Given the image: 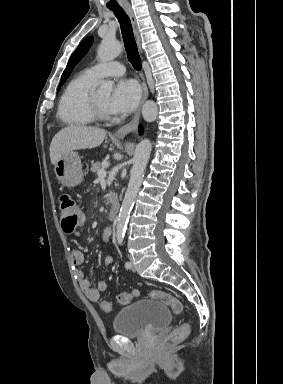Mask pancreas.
<instances>
[{"mask_svg": "<svg viewBox=\"0 0 283 384\" xmlns=\"http://www.w3.org/2000/svg\"><path fill=\"white\" fill-rule=\"evenodd\" d=\"M102 166L101 162H95V164H92L91 172H99V170H102Z\"/></svg>", "mask_w": 283, "mask_h": 384, "instance_id": "cf45deb5", "label": "pancreas"}]
</instances>
